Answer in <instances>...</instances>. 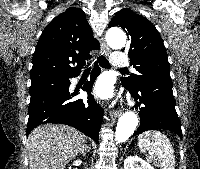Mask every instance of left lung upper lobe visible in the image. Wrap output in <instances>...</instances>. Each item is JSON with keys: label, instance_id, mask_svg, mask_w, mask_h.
<instances>
[{"label": "left lung upper lobe", "instance_id": "obj_1", "mask_svg": "<svg viewBox=\"0 0 200 169\" xmlns=\"http://www.w3.org/2000/svg\"><path fill=\"white\" fill-rule=\"evenodd\" d=\"M114 26L121 27L129 36L130 64L138 72L126 78L122 77L123 86L131 90L146 84L172 88L167 53L155 26L128 8L115 14L109 23V27Z\"/></svg>", "mask_w": 200, "mask_h": 169}]
</instances>
